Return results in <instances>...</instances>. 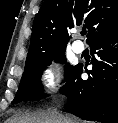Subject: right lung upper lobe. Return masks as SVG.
Here are the masks:
<instances>
[{
    "mask_svg": "<svg viewBox=\"0 0 118 123\" xmlns=\"http://www.w3.org/2000/svg\"><path fill=\"white\" fill-rule=\"evenodd\" d=\"M81 25L89 45L118 32V0H45L34 19L25 67L65 50L68 30Z\"/></svg>",
    "mask_w": 118,
    "mask_h": 123,
    "instance_id": "1",
    "label": "right lung upper lobe"
}]
</instances>
